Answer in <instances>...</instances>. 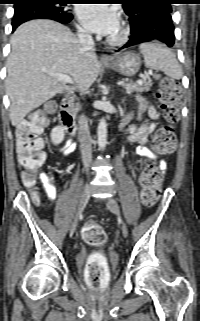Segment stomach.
I'll return each instance as SVG.
<instances>
[{
	"label": "stomach",
	"instance_id": "obj_1",
	"mask_svg": "<svg viewBox=\"0 0 200 321\" xmlns=\"http://www.w3.org/2000/svg\"><path fill=\"white\" fill-rule=\"evenodd\" d=\"M104 65L121 75L132 77L140 69L141 58L135 52L128 51L114 56L110 63H105Z\"/></svg>",
	"mask_w": 200,
	"mask_h": 321
}]
</instances>
